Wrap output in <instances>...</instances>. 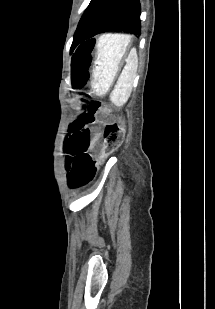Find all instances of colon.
Masks as SVG:
<instances>
[{
	"instance_id": "obj_1",
	"label": "colon",
	"mask_w": 215,
	"mask_h": 309,
	"mask_svg": "<svg viewBox=\"0 0 215 309\" xmlns=\"http://www.w3.org/2000/svg\"><path fill=\"white\" fill-rule=\"evenodd\" d=\"M125 123L119 122L107 123L104 127L103 140L107 145V152L118 149L124 141Z\"/></svg>"
}]
</instances>
